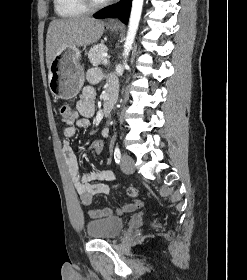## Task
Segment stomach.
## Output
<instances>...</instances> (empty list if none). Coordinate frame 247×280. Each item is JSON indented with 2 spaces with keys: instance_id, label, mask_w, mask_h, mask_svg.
<instances>
[{
  "instance_id": "obj_1",
  "label": "stomach",
  "mask_w": 247,
  "mask_h": 280,
  "mask_svg": "<svg viewBox=\"0 0 247 280\" xmlns=\"http://www.w3.org/2000/svg\"><path fill=\"white\" fill-rule=\"evenodd\" d=\"M110 29L118 31L117 27ZM80 58L81 51L76 46H66L58 51L48 72V85L52 94L68 100L79 93L85 80Z\"/></svg>"
}]
</instances>
